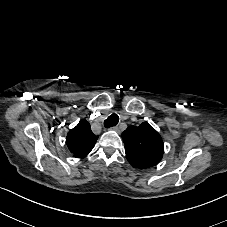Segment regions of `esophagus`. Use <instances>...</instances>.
<instances>
[{
    "label": "esophagus",
    "instance_id": "obj_1",
    "mask_svg": "<svg viewBox=\"0 0 227 227\" xmlns=\"http://www.w3.org/2000/svg\"><path fill=\"white\" fill-rule=\"evenodd\" d=\"M111 129L118 132V133L120 132L118 127H112Z\"/></svg>",
    "mask_w": 227,
    "mask_h": 227
}]
</instances>
